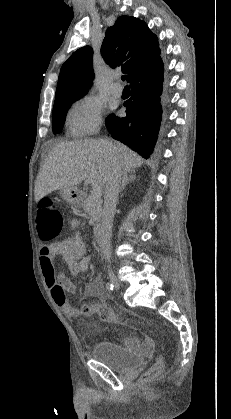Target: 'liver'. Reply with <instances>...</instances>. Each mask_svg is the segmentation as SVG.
Wrapping results in <instances>:
<instances>
[{"mask_svg": "<svg viewBox=\"0 0 231 419\" xmlns=\"http://www.w3.org/2000/svg\"><path fill=\"white\" fill-rule=\"evenodd\" d=\"M124 172L143 164V158L122 143L110 139L61 142L49 152L35 182V201L55 190L74 187L85 181L105 186L111 162Z\"/></svg>", "mask_w": 231, "mask_h": 419, "instance_id": "1", "label": "liver"}]
</instances>
